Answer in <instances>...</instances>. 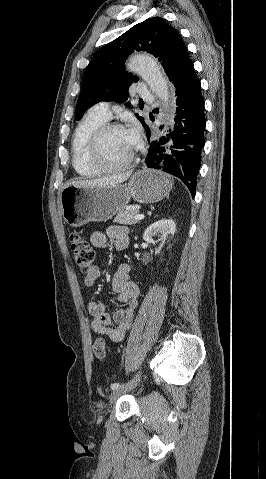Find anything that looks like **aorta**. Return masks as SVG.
<instances>
[{
	"label": "aorta",
	"mask_w": 266,
	"mask_h": 479,
	"mask_svg": "<svg viewBox=\"0 0 266 479\" xmlns=\"http://www.w3.org/2000/svg\"><path fill=\"white\" fill-rule=\"evenodd\" d=\"M129 69L142 77L152 91L165 102L167 106L169 87L157 61L148 55L135 54L130 58Z\"/></svg>",
	"instance_id": "aorta-1"
}]
</instances>
